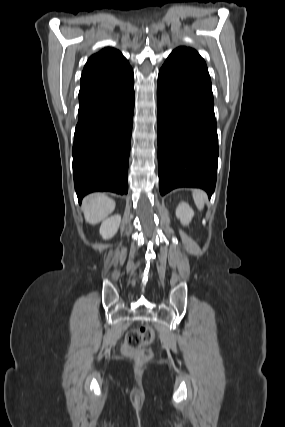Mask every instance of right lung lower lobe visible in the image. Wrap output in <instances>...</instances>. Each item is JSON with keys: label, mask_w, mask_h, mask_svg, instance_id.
<instances>
[{"label": "right lung lower lobe", "mask_w": 285, "mask_h": 427, "mask_svg": "<svg viewBox=\"0 0 285 427\" xmlns=\"http://www.w3.org/2000/svg\"><path fill=\"white\" fill-rule=\"evenodd\" d=\"M132 68L80 90L74 134V185L79 202L88 193L127 194L134 113Z\"/></svg>", "instance_id": "right-lung-lower-lobe-1"}]
</instances>
